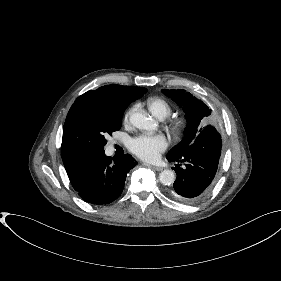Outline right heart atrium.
Returning a JSON list of instances; mask_svg holds the SVG:
<instances>
[{"label":"right heart atrium","mask_w":281,"mask_h":281,"mask_svg":"<svg viewBox=\"0 0 281 281\" xmlns=\"http://www.w3.org/2000/svg\"><path fill=\"white\" fill-rule=\"evenodd\" d=\"M134 110V108H131L125 115V120H128L130 114L132 113V111Z\"/></svg>","instance_id":"d8ad5b80"}]
</instances>
